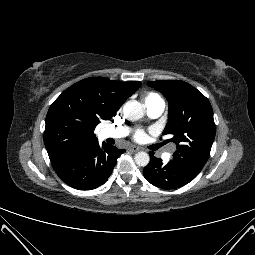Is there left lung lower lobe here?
I'll return each instance as SVG.
<instances>
[{
  "mask_svg": "<svg viewBox=\"0 0 255 255\" xmlns=\"http://www.w3.org/2000/svg\"><path fill=\"white\" fill-rule=\"evenodd\" d=\"M150 162L144 168L143 175L152 185L162 189H175L192 181L203 166L183 159H172L167 164L154 157L150 152Z\"/></svg>",
  "mask_w": 255,
  "mask_h": 255,
  "instance_id": "left-lung-lower-lobe-1",
  "label": "left lung lower lobe"
}]
</instances>
